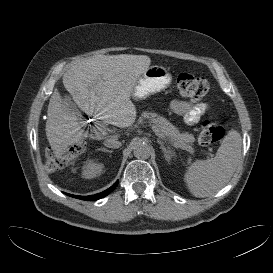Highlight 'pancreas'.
I'll list each match as a JSON object with an SVG mask.
<instances>
[{
	"label": "pancreas",
	"instance_id": "1",
	"mask_svg": "<svg viewBox=\"0 0 273 273\" xmlns=\"http://www.w3.org/2000/svg\"><path fill=\"white\" fill-rule=\"evenodd\" d=\"M142 117L147 119L150 124H153L160 132L169 139L174 145L182 147L184 150L189 151L190 143L195 141L192 134L180 133V131L172 125L167 119L158 116L155 113L143 112Z\"/></svg>",
	"mask_w": 273,
	"mask_h": 273
}]
</instances>
